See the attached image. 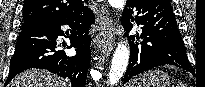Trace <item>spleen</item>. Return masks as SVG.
Returning a JSON list of instances; mask_svg holds the SVG:
<instances>
[{
  "label": "spleen",
  "mask_w": 205,
  "mask_h": 87,
  "mask_svg": "<svg viewBox=\"0 0 205 87\" xmlns=\"http://www.w3.org/2000/svg\"><path fill=\"white\" fill-rule=\"evenodd\" d=\"M177 87H183V85H181V84H178V85H177Z\"/></svg>",
  "instance_id": "3e777b00"
}]
</instances>
